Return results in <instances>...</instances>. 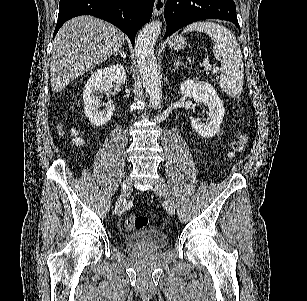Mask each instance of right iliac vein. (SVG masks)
Here are the masks:
<instances>
[{"label":"right iliac vein","mask_w":307,"mask_h":301,"mask_svg":"<svg viewBox=\"0 0 307 301\" xmlns=\"http://www.w3.org/2000/svg\"><path fill=\"white\" fill-rule=\"evenodd\" d=\"M129 191H130L129 179H125L123 180L122 185H121L120 197L118 198L115 204V214L116 215H119L122 213L126 199L129 195Z\"/></svg>","instance_id":"obj_1"}]
</instances>
